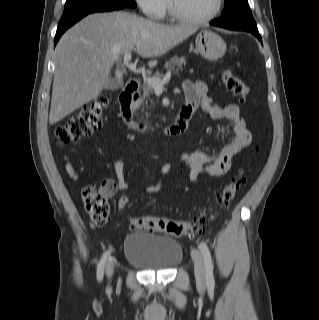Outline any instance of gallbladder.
Segmentation results:
<instances>
[{"label":"gallbladder","mask_w":319,"mask_h":320,"mask_svg":"<svg viewBox=\"0 0 319 320\" xmlns=\"http://www.w3.org/2000/svg\"><path fill=\"white\" fill-rule=\"evenodd\" d=\"M123 87V81L122 79L119 78H109L108 82L105 86L106 89L108 90H117Z\"/></svg>","instance_id":"bac80fb5"}]
</instances>
